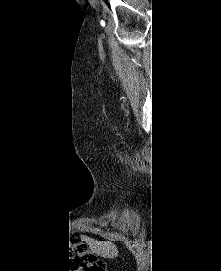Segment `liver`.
<instances>
[{
	"mask_svg": "<svg viewBox=\"0 0 221 271\" xmlns=\"http://www.w3.org/2000/svg\"><path fill=\"white\" fill-rule=\"evenodd\" d=\"M90 249L94 253H98L101 257H117L119 249L112 241H97V239H89Z\"/></svg>",
	"mask_w": 221,
	"mask_h": 271,
	"instance_id": "obj_1",
	"label": "liver"
}]
</instances>
